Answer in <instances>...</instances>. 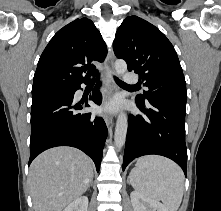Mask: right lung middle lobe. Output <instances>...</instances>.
<instances>
[{
    "label": "right lung middle lobe",
    "instance_id": "dd1d6c3e",
    "mask_svg": "<svg viewBox=\"0 0 221 211\" xmlns=\"http://www.w3.org/2000/svg\"><path fill=\"white\" fill-rule=\"evenodd\" d=\"M57 90H59V89H44V90L32 91V99H36V98L54 93Z\"/></svg>",
    "mask_w": 221,
    "mask_h": 211
}]
</instances>
